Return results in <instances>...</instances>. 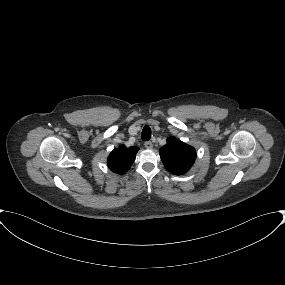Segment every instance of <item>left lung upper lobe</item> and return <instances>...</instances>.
Masks as SVG:
<instances>
[{
    "label": "left lung upper lobe",
    "mask_w": 285,
    "mask_h": 285,
    "mask_svg": "<svg viewBox=\"0 0 285 285\" xmlns=\"http://www.w3.org/2000/svg\"><path fill=\"white\" fill-rule=\"evenodd\" d=\"M159 154L165 168L175 175L185 174L196 159L195 149L175 137L167 139Z\"/></svg>",
    "instance_id": "left-lung-upper-lobe-1"
}]
</instances>
